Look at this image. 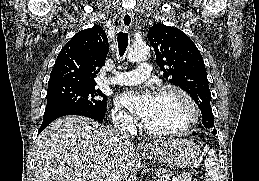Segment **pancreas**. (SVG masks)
<instances>
[{"label": "pancreas", "mask_w": 259, "mask_h": 181, "mask_svg": "<svg viewBox=\"0 0 259 181\" xmlns=\"http://www.w3.org/2000/svg\"><path fill=\"white\" fill-rule=\"evenodd\" d=\"M157 174H167V171L166 170H163V169H159L156 171ZM172 181H191V174L190 173H182L180 175H177L176 177L174 176Z\"/></svg>", "instance_id": "1"}]
</instances>
